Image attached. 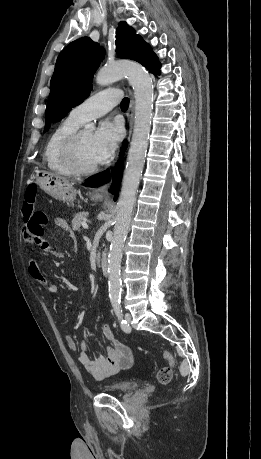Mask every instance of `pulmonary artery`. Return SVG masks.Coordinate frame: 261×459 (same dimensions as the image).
<instances>
[{
  "label": "pulmonary artery",
  "mask_w": 261,
  "mask_h": 459,
  "mask_svg": "<svg viewBox=\"0 0 261 459\" xmlns=\"http://www.w3.org/2000/svg\"><path fill=\"white\" fill-rule=\"evenodd\" d=\"M121 96V91L116 88L102 90L73 108L69 116L83 124L109 112L119 103Z\"/></svg>",
  "instance_id": "obj_1"
}]
</instances>
